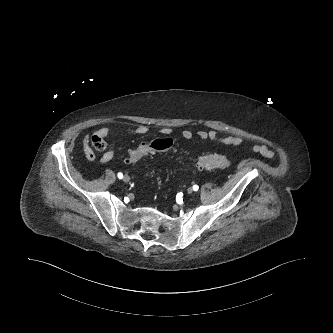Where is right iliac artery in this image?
Here are the masks:
<instances>
[{
    "mask_svg": "<svg viewBox=\"0 0 333 333\" xmlns=\"http://www.w3.org/2000/svg\"><path fill=\"white\" fill-rule=\"evenodd\" d=\"M117 176H118L119 179H122V178H123V174L120 173V172L117 174Z\"/></svg>",
    "mask_w": 333,
    "mask_h": 333,
    "instance_id": "82829eb1",
    "label": "right iliac artery"
}]
</instances>
